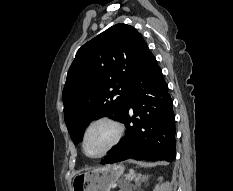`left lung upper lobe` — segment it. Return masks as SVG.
Here are the masks:
<instances>
[{"label": "left lung upper lobe", "instance_id": "left-lung-upper-lobe-1", "mask_svg": "<svg viewBox=\"0 0 233 191\" xmlns=\"http://www.w3.org/2000/svg\"><path fill=\"white\" fill-rule=\"evenodd\" d=\"M151 52L137 30L116 24L77 52L62 98L64 119L75 144L89 123L108 116L122 119L131 83Z\"/></svg>", "mask_w": 233, "mask_h": 191}]
</instances>
